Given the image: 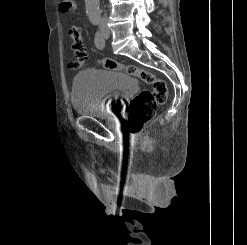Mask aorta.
Instances as JSON below:
<instances>
[{
	"mask_svg": "<svg viewBox=\"0 0 247 245\" xmlns=\"http://www.w3.org/2000/svg\"><path fill=\"white\" fill-rule=\"evenodd\" d=\"M86 13L93 24H98L101 19L99 0H85Z\"/></svg>",
	"mask_w": 247,
	"mask_h": 245,
	"instance_id": "aorta-1",
	"label": "aorta"
}]
</instances>
